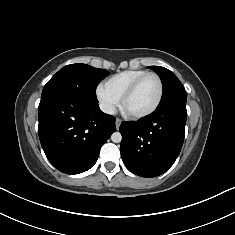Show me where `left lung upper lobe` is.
Returning <instances> with one entry per match:
<instances>
[{
  "label": "left lung upper lobe",
  "instance_id": "5c2ea615",
  "mask_svg": "<svg viewBox=\"0 0 235 235\" xmlns=\"http://www.w3.org/2000/svg\"><path fill=\"white\" fill-rule=\"evenodd\" d=\"M149 68L157 72L163 84V95L158 108L173 103L186 104V91L173 72L161 66H150Z\"/></svg>",
  "mask_w": 235,
  "mask_h": 235
}]
</instances>
